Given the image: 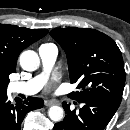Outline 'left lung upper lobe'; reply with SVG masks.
<instances>
[{
	"mask_svg": "<svg viewBox=\"0 0 130 130\" xmlns=\"http://www.w3.org/2000/svg\"><path fill=\"white\" fill-rule=\"evenodd\" d=\"M67 55L71 83L78 102L101 99L119 107L125 85L122 54L115 41L102 32L86 28H57L50 32Z\"/></svg>",
	"mask_w": 130,
	"mask_h": 130,
	"instance_id": "obj_1",
	"label": "left lung upper lobe"
}]
</instances>
